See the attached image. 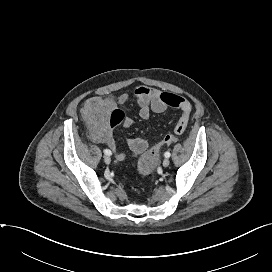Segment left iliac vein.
Masks as SVG:
<instances>
[{
    "label": "left iliac vein",
    "mask_w": 272,
    "mask_h": 272,
    "mask_svg": "<svg viewBox=\"0 0 272 272\" xmlns=\"http://www.w3.org/2000/svg\"><path fill=\"white\" fill-rule=\"evenodd\" d=\"M169 164H170L169 159H168V158H165V159L163 160V166L167 167V166H169Z\"/></svg>",
    "instance_id": "left-iliac-vein-1"
}]
</instances>
